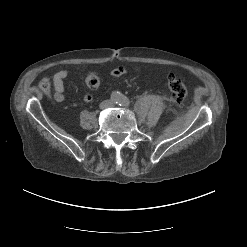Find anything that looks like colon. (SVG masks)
<instances>
[{"instance_id":"1","label":"colon","mask_w":247,"mask_h":247,"mask_svg":"<svg viewBox=\"0 0 247 247\" xmlns=\"http://www.w3.org/2000/svg\"><path fill=\"white\" fill-rule=\"evenodd\" d=\"M86 84L89 88L95 89L100 84V77L96 72H90L86 76ZM168 92L171 98L177 103H182L187 97L186 85L177 77L171 76L168 80ZM40 87L46 93H50V84L47 79H43L40 83Z\"/></svg>"}]
</instances>
